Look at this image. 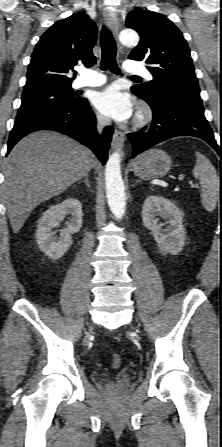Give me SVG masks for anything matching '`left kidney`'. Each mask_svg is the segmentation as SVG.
I'll use <instances>...</instances> for the list:
<instances>
[{
  "label": "left kidney",
  "instance_id": "obj_1",
  "mask_svg": "<svg viewBox=\"0 0 222 447\" xmlns=\"http://www.w3.org/2000/svg\"><path fill=\"white\" fill-rule=\"evenodd\" d=\"M158 215L167 219L169 226L166 229H162L163 224H158ZM142 221L153 232L161 253L176 255L183 249L186 236L182 213L169 199L155 195L147 197L142 208Z\"/></svg>",
  "mask_w": 222,
  "mask_h": 447
}]
</instances>
